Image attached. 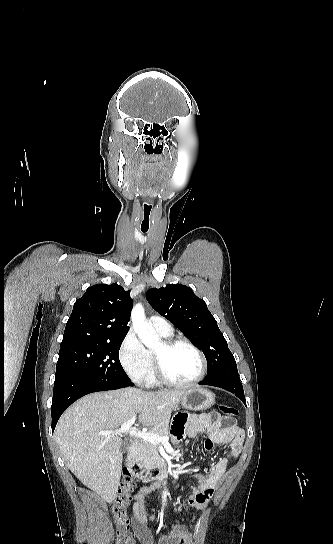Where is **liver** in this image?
Segmentation results:
<instances>
[{
  "instance_id": "liver-1",
  "label": "liver",
  "mask_w": 333,
  "mask_h": 544,
  "mask_svg": "<svg viewBox=\"0 0 333 544\" xmlns=\"http://www.w3.org/2000/svg\"><path fill=\"white\" fill-rule=\"evenodd\" d=\"M186 390L145 392L125 388L89 394L61 416L55 437L67 467L88 488L112 503L120 483L122 441L104 436L134 416L144 427L170 417Z\"/></svg>"
}]
</instances>
